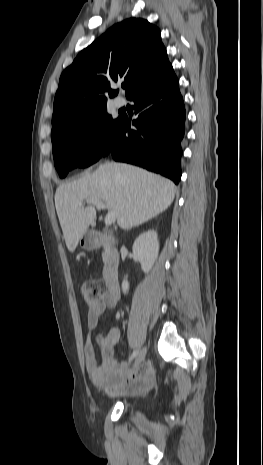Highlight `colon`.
I'll return each instance as SVG.
<instances>
[{
  "instance_id": "5ec220e1",
  "label": "colon",
  "mask_w": 263,
  "mask_h": 465,
  "mask_svg": "<svg viewBox=\"0 0 263 465\" xmlns=\"http://www.w3.org/2000/svg\"><path fill=\"white\" fill-rule=\"evenodd\" d=\"M105 293V285L98 280H86L81 286L82 297L89 305H94L101 301L104 298ZM99 341L103 346L105 358L109 359L112 353V344L109 338H100Z\"/></svg>"
}]
</instances>
